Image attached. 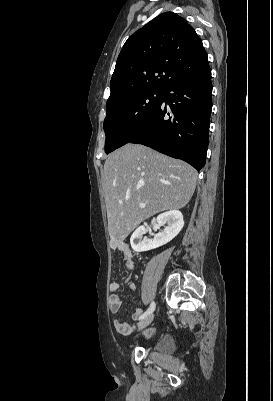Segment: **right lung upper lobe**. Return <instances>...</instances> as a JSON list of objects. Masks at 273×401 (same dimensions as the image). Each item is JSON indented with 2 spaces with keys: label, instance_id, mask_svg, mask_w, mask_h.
Segmentation results:
<instances>
[{
  "label": "right lung upper lobe",
  "instance_id": "1",
  "mask_svg": "<svg viewBox=\"0 0 273 401\" xmlns=\"http://www.w3.org/2000/svg\"><path fill=\"white\" fill-rule=\"evenodd\" d=\"M208 62L201 39L186 20L165 12L131 35L111 78L107 106L130 95L162 90L179 75Z\"/></svg>",
  "mask_w": 273,
  "mask_h": 401
}]
</instances>
